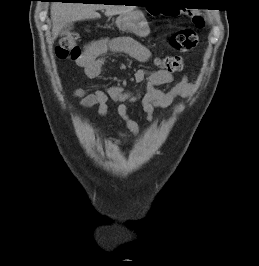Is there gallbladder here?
Masks as SVG:
<instances>
[{
    "label": "gallbladder",
    "instance_id": "gallbladder-1",
    "mask_svg": "<svg viewBox=\"0 0 259 266\" xmlns=\"http://www.w3.org/2000/svg\"><path fill=\"white\" fill-rule=\"evenodd\" d=\"M73 28V24H67L63 29H62V34H66L69 30Z\"/></svg>",
    "mask_w": 259,
    "mask_h": 266
}]
</instances>
